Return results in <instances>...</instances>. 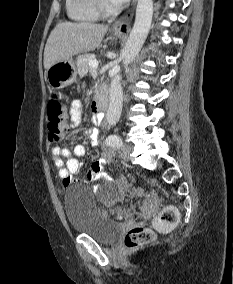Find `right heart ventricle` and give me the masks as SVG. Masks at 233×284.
Here are the masks:
<instances>
[{
    "label": "right heart ventricle",
    "instance_id": "obj_1",
    "mask_svg": "<svg viewBox=\"0 0 233 284\" xmlns=\"http://www.w3.org/2000/svg\"><path fill=\"white\" fill-rule=\"evenodd\" d=\"M66 10L70 19L77 22H95L100 18L95 0H66Z\"/></svg>",
    "mask_w": 233,
    "mask_h": 284
}]
</instances>
